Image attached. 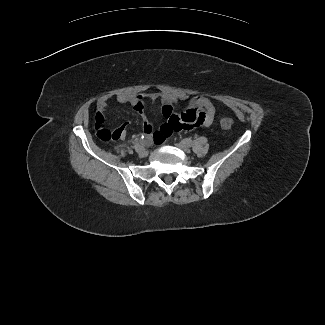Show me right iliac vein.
<instances>
[{
  "mask_svg": "<svg viewBox=\"0 0 325 325\" xmlns=\"http://www.w3.org/2000/svg\"><path fill=\"white\" fill-rule=\"evenodd\" d=\"M137 153L140 157H146L148 155V152L144 148L137 151Z\"/></svg>",
  "mask_w": 325,
  "mask_h": 325,
  "instance_id": "obj_1",
  "label": "right iliac vein"
}]
</instances>
